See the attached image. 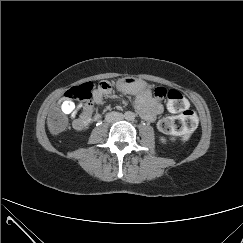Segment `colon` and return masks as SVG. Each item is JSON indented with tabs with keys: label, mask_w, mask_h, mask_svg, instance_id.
<instances>
[{
	"label": "colon",
	"mask_w": 243,
	"mask_h": 243,
	"mask_svg": "<svg viewBox=\"0 0 243 243\" xmlns=\"http://www.w3.org/2000/svg\"><path fill=\"white\" fill-rule=\"evenodd\" d=\"M94 85L91 82H85L70 88L65 96L67 100L78 102H89L94 96ZM104 92L111 89L108 82L102 81L98 84V88ZM155 97L158 99L167 98L168 108L172 113L177 115L166 117L159 121L158 128L161 132L179 138H187L194 131L197 125V117L189 108L186 98L177 90H167L164 87H157L154 91ZM88 120V114L83 113L75 122L76 128H83ZM66 118L63 115L61 105H57L55 112L48 117V128L53 134L60 133L66 126Z\"/></svg>",
	"instance_id": "1"
}]
</instances>
